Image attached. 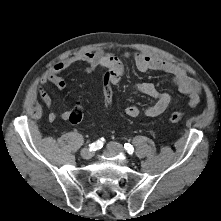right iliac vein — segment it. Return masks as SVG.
I'll return each instance as SVG.
<instances>
[{
  "label": "right iliac vein",
  "instance_id": "1",
  "mask_svg": "<svg viewBox=\"0 0 221 221\" xmlns=\"http://www.w3.org/2000/svg\"><path fill=\"white\" fill-rule=\"evenodd\" d=\"M92 155H93V152L91 150L87 149V148H84L81 151V156H82L83 159L88 160L92 157Z\"/></svg>",
  "mask_w": 221,
  "mask_h": 221
}]
</instances>
